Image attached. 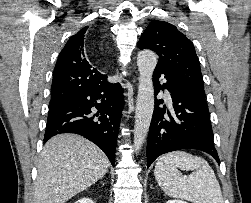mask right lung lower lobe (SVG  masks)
I'll list each match as a JSON object with an SVG mask.
<instances>
[{
    "label": "right lung lower lobe",
    "instance_id": "98d812e1",
    "mask_svg": "<svg viewBox=\"0 0 251 203\" xmlns=\"http://www.w3.org/2000/svg\"><path fill=\"white\" fill-rule=\"evenodd\" d=\"M122 93L119 83L106 81L90 85L71 98L49 106L44 143L57 134L76 133L100 147L114 165L124 101Z\"/></svg>",
    "mask_w": 251,
    "mask_h": 203
}]
</instances>
